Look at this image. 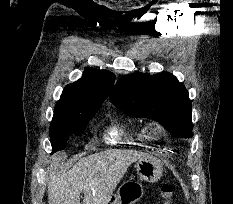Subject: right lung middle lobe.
Here are the masks:
<instances>
[{
  "instance_id": "obj_1",
  "label": "right lung middle lobe",
  "mask_w": 233,
  "mask_h": 204,
  "mask_svg": "<svg viewBox=\"0 0 233 204\" xmlns=\"http://www.w3.org/2000/svg\"><path fill=\"white\" fill-rule=\"evenodd\" d=\"M95 113L93 112L76 119L62 122L58 126H50L52 152L62 150L66 146L69 134H81Z\"/></svg>"
}]
</instances>
